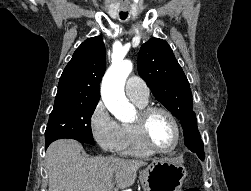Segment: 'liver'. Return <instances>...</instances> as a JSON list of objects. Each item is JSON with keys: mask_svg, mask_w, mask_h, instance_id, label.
Returning <instances> with one entry per match:
<instances>
[{"mask_svg": "<svg viewBox=\"0 0 251 191\" xmlns=\"http://www.w3.org/2000/svg\"><path fill=\"white\" fill-rule=\"evenodd\" d=\"M49 191H106L125 189L135 183L137 171L147 161L123 157H88L75 139H57L46 155Z\"/></svg>", "mask_w": 251, "mask_h": 191, "instance_id": "1", "label": "liver"}]
</instances>
